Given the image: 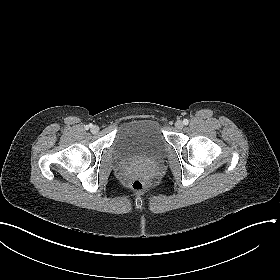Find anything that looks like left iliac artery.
Wrapping results in <instances>:
<instances>
[{
  "label": "left iliac artery",
  "mask_w": 280,
  "mask_h": 280,
  "mask_svg": "<svg viewBox=\"0 0 280 280\" xmlns=\"http://www.w3.org/2000/svg\"><path fill=\"white\" fill-rule=\"evenodd\" d=\"M188 123H189V120H187V119H184V120H183V124H184V125H188Z\"/></svg>",
  "instance_id": "44dca946"
}]
</instances>
